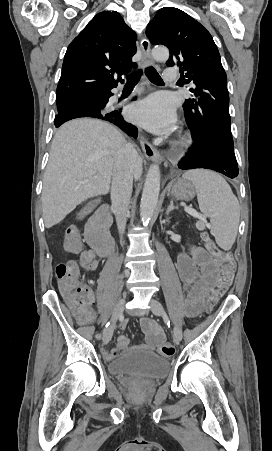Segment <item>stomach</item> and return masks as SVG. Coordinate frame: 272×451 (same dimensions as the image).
<instances>
[{
	"mask_svg": "<svg viewBox=\"0 0 272 451\" xmlns=\"http://www.w3.org/2000/svg\"><path fill=\"white\" fill-rule=\"evenodd\" d=\"M172 196L174 198H177V200H191V198H194L196 194V190L191 184V182H186V180H177L176 184H174L171 192Z\"/></svg>",
	"mask_w": 272,
	"mask_h": 451,
	"instance_id": "obj_1",
	"label": "stomach"
}]
</instances>
